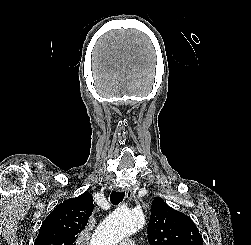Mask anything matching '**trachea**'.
<instances>
[{
    "label": "trachea",
    "instance_id": "1",
    "mask_svg": "<svg viewBox=\"0 0 251 245\" xmlns=\"http://www.w3.org/2000/svg\"><path fill=\"white\" fill-rule=\"evenodd\" d=\"M124 196H125L124 192L112 191L110 195V201L112 204L118 205L120 202H122Z\"/></svg>",
    "mask_w": 251,
    "mask_h": 245
}]
</instances>
